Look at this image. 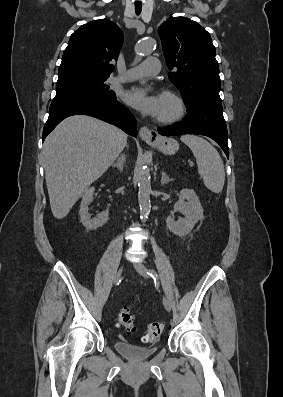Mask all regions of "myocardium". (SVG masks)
<instances>
[{"label":"myocardium","mask_w":283,"mask_h":397,"mask_svg":"<svg viewBox=\"0 0 283 397\" xmlns=\"http://www.w3.org/2000/svg\"><path fill=\"white\" fill-rule=\"evenodd\" d=\"M161 96L172 99L176 105V110L169 116L157 117V122L161 124H172L182 119L186 112V103L182 96L172 90H164Z\"/></svg>","instance_id":"myocardium-1"}]
</instances>
